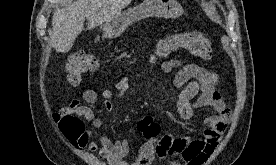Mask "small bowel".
<instances>
[{
  "label": "small bowel",
  "mask_w": 276,
  "mask_h": 165,
  "mask_svg": "<svg viewBox=\"0 0 276 165\" xmlns=\"http://www.w3.org/2000/svg\"><path fill=\"white\" fill-rule=\"evenodd\" d=\"M161 69L165 73L178 69L173 83L176 88L181 89L177 109L183 120H191L198 108L209 106L213 109L214 114L204 120L205 129L200 138L173 137L166 134L156 142L143 143L132 162L125 160L130 152L127 140L112 141L106 136H101L95 141L92 139V132L83 128L75 144L81 148L88 146L92 153L104 159L108 165H151L155 156L161 160L179 157L186 165H204L222 140L232 117L230 108L217 90L218 76L201 65L177 58L164 60ZM130 86L128 78L122 77L115 83L114 89L123 94ZM113 94L110 88H105L100 93L106 109L110 112L114 110L111 100ZM82 97L86 103L94 104L99 94L94 89H87ZM58 115L76 117L91 123L96 128L102 125V121L94 116L92 110L81 105L78 99L61 108Z\"/></svg>",
  "instance_id": "small-bowel-1"
}]
</instances>
